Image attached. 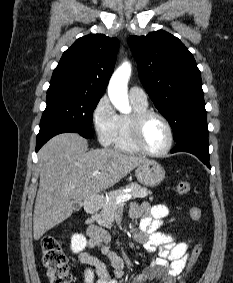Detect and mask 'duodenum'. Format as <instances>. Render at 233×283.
Segmentation results:
<instances>
[{
	"mask_svg": "<svg viewBox=\"0 0 233 283\" xmlns=\"http://www.w3.org/2000/svg\"><path fill=\"white\" fill-rule=\"evenodd\" d=\"M102 202L101 199L95 197V196H90L86 202H85V211L89 215V218L87 219L86 223L90 226H94V220L93 216L99 211L101 208Z\"/></svg>",
	"mask_w": 233,
	"mask_h": 283,
	"instance_id": "410a0bca",
	"label": "duodenum"
}]
</instances>
